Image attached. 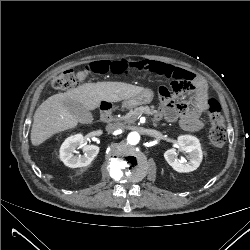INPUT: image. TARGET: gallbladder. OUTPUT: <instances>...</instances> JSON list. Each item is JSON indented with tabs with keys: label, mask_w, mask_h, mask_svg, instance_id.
Wrapping results in <instances>:
<instances>
[{
	"label": "gallbladder",
	"mask_w": 250,
	"mask_h": 250,
	"mask_svg": "<svg viewBox=\"0 0 250 250\" xmlns=\"http://www.w3.org/2000/svg\"><path fill=\"white\" fill-rule=\"evenodd\" d=\"M66 109L81 123H89L92 121V114L81 103L72 99L63 101Z\"/></svg>",
	"instance_id": "bac80fb5"
}]
</instances>
